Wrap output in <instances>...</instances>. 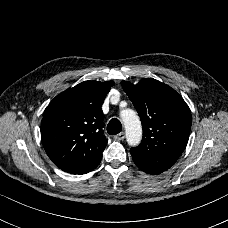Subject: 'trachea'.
Listing matches in <instances>:
<instances>
[{
    "mask_svg": "<svg viewBox=\"0 0 228 228\" xmlns=\"http://www.w3.org/2000/svg\"><path fill=\"white\" fill-rule=\"evenodd\" d=\"M122 131V124L121 122L114 118L111 119L107 125V132L110 135H116Z\"/></svg>",
    "mask_w": 228,
    "mask_h": 228,
    "instance_id": "3493384b",
    "label": "trachea"
}]
</instances>
